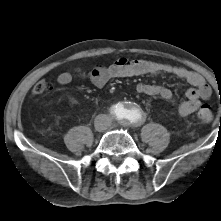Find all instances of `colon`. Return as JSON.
<instances>
[{
  "instance_id": "1",
  "label": "colon",
  "mask_w": 221,
  "mask_h": 221,
  "mask_svg": "<svg viewBox=\"0 0 221 221\" xmlns=\"http://www.w3.org/2000/svg\"><path fill=\"white\" fill-rule=\"evenodd\" d=\"M53 88V82L49 78L40 80L33 88V94L36 96L48 93ZM197 117L203 124H208L213 120L214 113L210 106L203 105L198 109Z\"/></svg>"
}]
</instances>
